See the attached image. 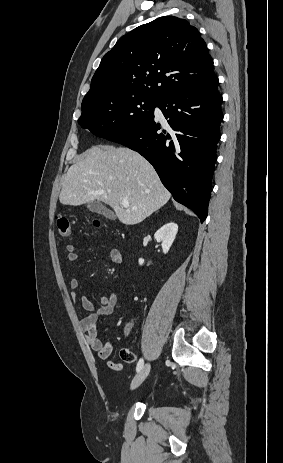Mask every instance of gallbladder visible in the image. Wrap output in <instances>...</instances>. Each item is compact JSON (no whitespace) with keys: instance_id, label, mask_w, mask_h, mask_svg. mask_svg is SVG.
I'll list each match as a JSON object with an SVG mask.
<instances>
[{"instance_id":"gallbladder-1","label":"gallbladder","mask_w":283,"mask_h":463,"mask_svg":"<svg viewBox=\"0 0 283 463\" xmlns=\"http://www.w3.org/2000/svg\"><path fill=\"white\" fill-rule=\"evenodd\" d=\"M87 209L93 213L105 215L110 218L115 217L112 211L107 209L101 202H98V201L88 202Z\"/></svg>"}]
</instances>
